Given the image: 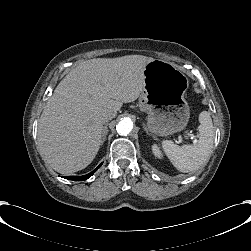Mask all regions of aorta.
Instances as JSON below:
<instances>
[{"mask_svg":"<svg viewBox=\"0 0 251 251\" xmlns=\"http://www.w3.org/2000/svg\"><path fill=\"white\" fill-rule=\"evenodd\" d=\"M132 128H133L132 122L128 119L121 120L116 127L117 132L120 135H127L128 133H130Z\"/></svg>","mask_w":251,"mask_h":251,"instance_id":"aorta-1","label":"aorta"}]
</instances>
